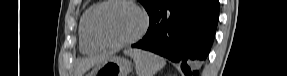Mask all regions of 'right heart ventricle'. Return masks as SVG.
<instances>
[{"label":"right heart ventricle","instance_id":"obj_1","mask_svg":"<svg viewBox=\"0 0 287 76\" xmlns=\"http://www.w3.org/2000/svg\"><path fill=\"white\" fill-rule=\"evenodd\" d=\"M98 4L99 2L94 3L93 5L88 7L84 11L80 19V25H79L80 50L85 54L97 53L102 49L92 40L88 29L90 15Z\"/></svg>","mask_w":287,"mask_h":76}]
</instances>
